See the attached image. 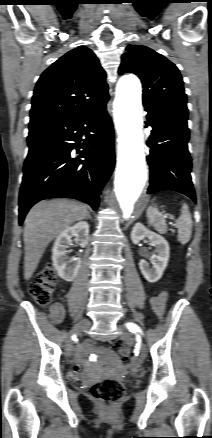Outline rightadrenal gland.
Instances as JSON below:
<instances>
[{
  "label": "right adrenal gland",
  "instance_id": "1",
  "mask_svg": "<svg viewBox=\"0 0 212 438\" xmlns=\"http://www.w3.org/2000/svg\"><path fill=\"white\" fill-rule=\"evenodd\" d=\"M87 219H90V220L92 219V217H91V215H90L89 212H88V214H87V216H86V220H87Z\"/></svg>",
  "mask_w": 212,
  "mask_h": 438
}]
</instances>
